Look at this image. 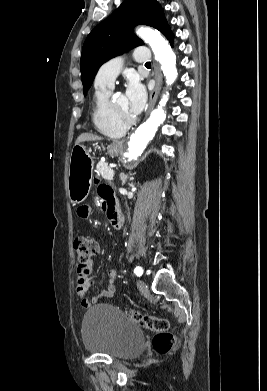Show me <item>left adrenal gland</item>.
Listing matches in <instances>:
<instances>
[{
    "instance_id": "obj_1",
    "label": "left adrenal gland",
    "mask_w": 267,
    "mask_h": 391,
    "mask_svg": "<svg viewBox=\"0 0 267 391\" xmlns=\"http://www.w3.org/2000/svg\"><path fill=\"white\" fill-rule=\"evenodd\" d=\"M128 178H129V175L124 174V173L120 174V179H121V182H122V186L126 184Z\"/></svg>"
}]
</instances>
